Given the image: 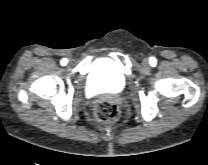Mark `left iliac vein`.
<instances>
[{
	"label": "left iliac vein",
	"instance_id": "1",
	"mask_svg": "<svg viewBox=\"0 0 208 165\" xmlns=\"http://www.w3.org/2000/svg\"><path fill=\"white\" fill-rule=\"evenodd\" d=\"M142 63L145 67L149 66V60L147 58H145Z\"/></svg>",
	"mask_w": 208,
	"mask_h": 165
}]
</instances>
